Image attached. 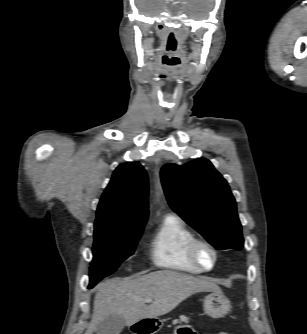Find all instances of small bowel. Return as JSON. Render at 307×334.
I'll use <instances>...</instances> for the list:
<instances>
[{"label":"small bowel","mask_w":307,"mask_h":334,"mask_svg":"<svg viewBox=\"0 0 307 334\" xmlns=\"http://www.w3.org/2000/svg\"><path fill=\"white\" fill-rule=\"evenodd\" d=\"M175 334H196L195 332H192L188 329H178ZM218 334H228L226 332H220Z\"/></svg>","instance_id":"small-bowel-1"}]
</instances>
